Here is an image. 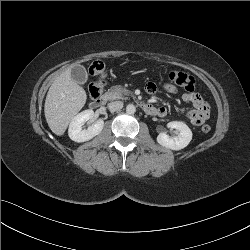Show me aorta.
Here are the masks:
<instances>
[{
    "label": "aorta",
    "mask_w": 250,
    "mask_h": 250,
    "mask_svg": "<svg viewBox=\"0 0 250 250\" xmlns=\"http://www.w3.org/2000/svg\"><path fill=\"white\" fill-rule=\"evenodd\" d=\"M126 112L128 114H134L136 112V107L133 104H128L126 107Z\"/></svg>",
    "instance_id": "aorta-1"
}]
</instances>
